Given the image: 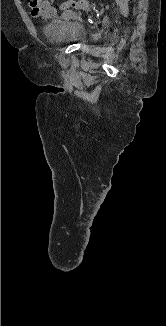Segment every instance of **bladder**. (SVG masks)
I'll list each match as a JSON object with an SVG mask.
<instances>
[{"mask_svg":"<svg viewBox=\"0 0 166 326\" xmlns=\"http://www.w3.org/2000/svg\"><path fill=\"white\" fill-rule=\"evenodd\" d=\"M47 35L59 43H82L86 39L85 28L74 20L55 18L45 27Z\"/></svg>","mask_w":166,"mask_h":326,"instance_id":"bladder-1","label":"bladder"}]
</instances>
